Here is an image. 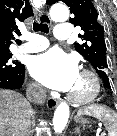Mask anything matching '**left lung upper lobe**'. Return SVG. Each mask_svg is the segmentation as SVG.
<instances>
[{
  "mask_svg": "<svg viewBox=\"0 0 117 136\" xmlns=\"http://www.w3.org/2000/svg\"><path fill=\"white\" fill-rule=\"evenodd\" d=\"M70 7L71 13L75 16L70 18L74 26H81L84 31L79 37L84 43H75V49L84 56L94 67L103 80L104 85L110 89L107 76L106 45L104 40V28L98 23V13L90 0H65ZM55 0H48L47 4L52 5Z\"/></svg>",
  "mask_w": 117,
  "mask_h": 136,
  "instance_id": "obj_1",
  "label": "left lung upper lobe"
}]
</instances>
